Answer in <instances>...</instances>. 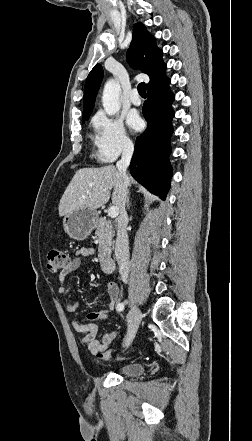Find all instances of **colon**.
I'll list each match as a JSON object with an SVG mask.
<instances>
[{"instance_id": "5ec220e1", "label": "colon", "mask_w": 252, "mask_h": 441, "mask_svg": "<svg viewBox=\"0 0 252 441\" xmlns=\"http://www.w3.org/2000/svg\"><path fill=\"white\" fill-rule=\"evenodd\" d=\"M69 263L68 256L60 249L53 248L48 252L47 255V270L50 273H57L60 270H63ZM112 310L105 308L102 310H97L89 313L87 315L88 324H81L79 329L82 332H88L91 325H94V322L104 321L109 317V314ZM111 353L108 351L102 352L99 354L100 358L110 359Z\"/></svg>"}]
</instances>
